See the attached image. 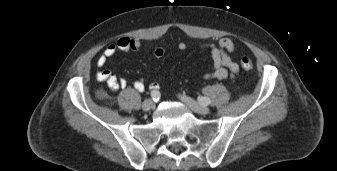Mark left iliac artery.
<instances>
[{"label":"left iliac artery","instance_id":"44dca946","mask_svg":"<svg viewBox=\"0 0 337 171\" xmlns=\"http://www.w3.org/2000/svg\"><path fill=\"white\" fill-rule=\"evenodd\" d=\"M198 101L201 105H209L211 103V100L207 97H199Z\"/></svg>","mask_w":337,"mask_h":171}]
</instances>
